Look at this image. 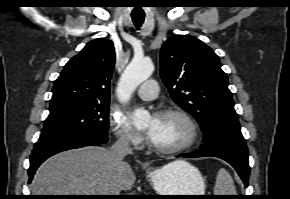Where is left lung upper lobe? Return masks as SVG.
<instances>
[{"mask_svg": "<svg viewBox=\"0 0 290 199\" xmlns=\"http://www.w3.org/2000/svg\"><path fill=\"white\" fill-rule=\"evenodd\" d=\"M160 59L164 84L198 121L204 142L220 133H241L228 78L210 47L193 36L175 35L163 44Z\"/></svg>", "mask_w": 290, "mask_h": 199, "instance_id": "obj_1", "label": "left lung upper lobe"}]
</instances>
